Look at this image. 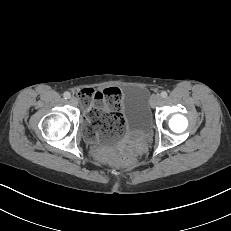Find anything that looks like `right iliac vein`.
<instances>
[{
	"label": "right iliac vein",
	"mask_w": 231,
	"mask_h": 231,
	"mask_svg": "<svg viewBox=\"0 0 231 231\" xmlns=\"http://www.w3.org/2000/svg\"><path fill=\"white\" fill-rule=\"evenodd\" d=\"M70 104L73 106H77L78 105V100L76 97H71L70 98Z\"/></svg>",
	"instance_id": "1"
}]
</instances>
